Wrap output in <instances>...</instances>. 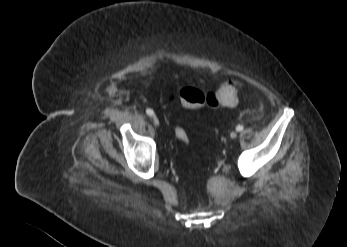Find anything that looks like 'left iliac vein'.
Returning a JSON list of instances; mask_svg holds the SVG:
<instances>
[{"label": "left iliac vein", "mask_w": 347, "mask_h": 247, "mask_svg": "<svg viewBox=\"0 0 347 247\" xmlns=\"http://www.w3.org/2000/svg\"><path fill=\"white\" fill-rule=\"evenodd\" d=\"M230 137L232 139H235L237 137V132H235V131L231 132Z\"/></svg>", "instance_id": "obj_1"}]
</instances>
